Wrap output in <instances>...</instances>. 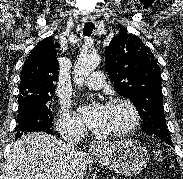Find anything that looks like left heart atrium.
<instances>
[{
	"instance_id": "left-heart-atrium-1",
	"label": "left heart atrium",
	"mask_w": 183,
	"mask_h": 179,
	"mask_svg": "<svg viewBox=\"0 0 183 179\" xmlns=\"http://www.w3.org/2000/svg\"><path fill=\"white\" fill-rule=\"evenodd\" d=\"M86 124L95 131H102L105 125L106 106L97 104L95 106H84L81 108Z\"/></svg>"
}]
</instances>
